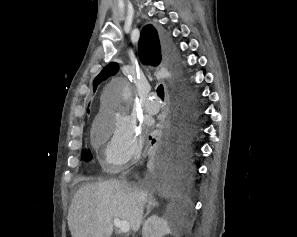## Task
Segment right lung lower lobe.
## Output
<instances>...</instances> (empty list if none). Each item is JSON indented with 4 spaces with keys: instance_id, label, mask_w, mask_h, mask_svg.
<instances>
[{
    "instance_id": "1",
    "label": "right lung lower lobe",
    "mask_w": 297,
    "mask_h": 237,
    "mask_svg": "<svg viewBox=\"0 0 297 237\" xmlns=\"http://www.w3.org/2000/svg\"><path fill=\"white\" fill-rule=\"evenodd\" d=\"M164 46L166 53L171 54L168 38H164ZM188 125L189 121L179 118L165 159L160 167L161 176H172L189 168L188 134L186 129ZM154 142L155 140L152 139V143Z\"/></svg>"
}]
</instances>
